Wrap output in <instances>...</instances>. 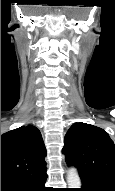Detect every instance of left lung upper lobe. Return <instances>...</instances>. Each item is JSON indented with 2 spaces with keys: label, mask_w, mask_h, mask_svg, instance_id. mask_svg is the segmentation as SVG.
Listing matches in <instances>:
<instances>
[{
  "label": "left lung upper lobe",
  "mask_w": 115,
  "mask_h": 191,
  "mask_svg": "<svg viewBox=\"0 0 115 191\" xmlns=\"http://www.w3.org/2000/svg\"><path fill=\"white\" fill-rule=\"evenodd\" d=\"M68 165L78 169L81 178L100 181L115 189V145L103 129L74 123L64 139Z\"/></svg>",
  "instance_id": "left-lung-upper-lobe-1"
}]
</instances>
